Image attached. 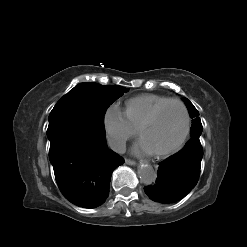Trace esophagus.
<instances>
[{"label":"esophagus","instance_id":"esophagus-1","mask_svg":"<svg viewBox=\"0 0 247 247\" xmlns=\"http://www.w3.org/2000/svg\"><path fill=\"white\" fill-rule=\"evenodd\" d=\"M125 163L128 164V165H131V166L136 165V162L133 161V160H130V159H125Z\"/></svg>","mask_w":247,"mask_h":247}]
</instances>
